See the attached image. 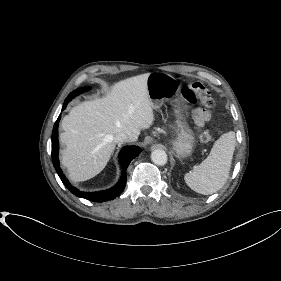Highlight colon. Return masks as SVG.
I'll return each mask as SVG.
<instances>
[{
	"instance_id": "1",
	"label": "colon",
	"mask_w": 281,
	"mask_h": 281,
	"mask_svg": "<svg viewBox=\"0 0 281 281\" xmlns=\"http://www.w3.org/2000/svg\"><path fill=\"white\" fill-rule=\"evenodd\" d=\"M183 97L186 101L197 103L204 109H209L214 106V100L208 89L201 83L195 82L189 85L183 91ZM214 137V131L207 129L200 135V140L203 143L210 142Z\"/></svg>"
}]
</instances>
